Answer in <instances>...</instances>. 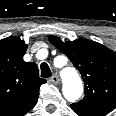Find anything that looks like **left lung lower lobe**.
I'll return each mask as SVG.
<instances>
[{"instance_id": "obj_1", "label": "left lung lower lobe", "mask_w": 116, "mask_h": 116, "mask_svg": "<svg viewBox=\"0 0 116 116\" xmlns=\"http://www.w3.org/2000/svg\"><path fill=\"white\" fill-rule=\"evenodd\" d=\"M70 107L79 116H104L109 113L108 111L100 109H84L75 107L73 105H70Z\"/></svg>"}]
</instances>
